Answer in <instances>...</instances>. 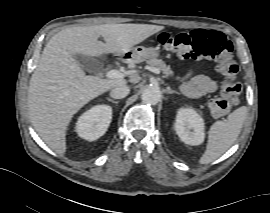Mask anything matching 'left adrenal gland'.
<instances>
[{
  "label": "left adrenal gland",
  "mask_w": 270,
  "mask_h": 213,
  "mask_svg": "<svg viewBox=\"0 0 270 213\" xmlns=\"http://www.w3.org/2000/svg\"><path fill=\"white\" fill-rule=\"evenodd\" d=\"M166 93H167V94H173V93L180 94L179 92H177V91H175V90H172L170 87H167V88H166Z\"/></svg>",
  "instance_id": "left-adrenal-gland-1"
}]
</instances>
